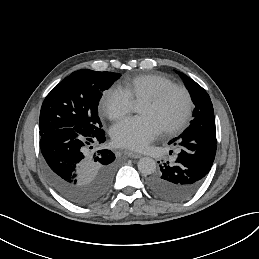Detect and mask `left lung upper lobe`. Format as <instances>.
Instances as JSON below:
<instances>
[{
    "label": "left lung upper lobe",
    "instance_id": "1",
    "mask_svg": "<svg viewBox=\"0 0 259 259\" xmlns=\"http://www.w3.org/2000/svg\"><path fill=\"white\" fill-rule=\"evenodd\" d=\"M178 74L185 82V86L188 89L191 95V99L195 105L193 111L194 119L191 121L190 126L215 127L214 110L207 92L194 80H192L182 72H178Z\"/></svg>",
    "mask_w": 259,
    "mask_h": 259
}]
</instances>
